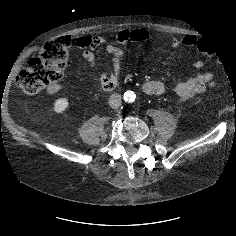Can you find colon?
I'll use <instances>...</instances> for the list:
<instances>
[{
  "instance_id": "colon-1",
  "label": "colon",
  "mask_w": 236,
  "mask_h": 236,
  "mask_svg": "<svg viewBox=\"0 0 236 236\" xmlns=\"http://www.w3.org/2000/svg\"><path fill=\"white\" fill-rule=\"evenodd\" d=\"M194 47L201 49L203 57H211L217 62L225 60L219 48L208 45ZM69 63V43L66 39H55L44 44L38 56L29 60L27 66L16 76V85L27 95L39 93L45 87L61 81L63 71Z\"/></svg>"
}]
</instances>
